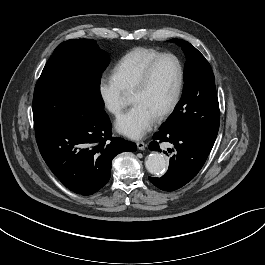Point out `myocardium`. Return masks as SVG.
<instances>
[{
  "instance_id": "myocardium-1",
  "label": "myocardium",
  "mask_w": 265,
  "mask_h": 265,
  "mask_svg": "<svg viewBox=\"0 0 265 265\" xmlns=\"http://www.w3.org/2000/svg\"><path fill=\"white\" fill-rule=\"evenodd\" d=\"M167 58L174 60L176 65H177L178 81H177V86H176V90H175L173 99L171 100L170 104L162 112H160L157 116V119H159V120H162V119L168 117L176 109V107L178 106V104L180 102L182 92H183V87H184V78H185L184 67H183L180 59L172 53H162V54L158 55L153 60H151L147 64V66L144 68V70L142 71L141 75L139 76L137 82L135 83V85L131 91V95H132V94H135L137 92L144 90L150 81L152 72H153L154 68L156 67V65L160 61H162L163 59H167Z\"/></svg>"
}]
</instances>
